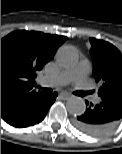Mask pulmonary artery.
<instances>
[{
    "label": "pulmonary artery",
    "mask_w": 122,
    "mask_h": 154,
    "mask_svg": "<svg viewBox=\"0 0 122 154\" xmlns=\"http://www.w3.org/2000/svg\"><path fill=\"white\" fill-rule=\"evenodd\" d=\"M89 71V62L87 60H82L76 66L59 73L55 77L49 78L48 83L53 86H63L71 81H76L80 86L84 87L87 83ZM93 101L98 103L100 100L98 97H95Z\"/></svg>",
    "instance_id": "pulmonary-artery-1"
}]
</instances>
